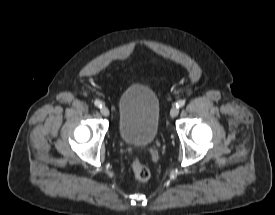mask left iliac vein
<instances>
[{
	"label": "left iliac vein",
	"instance_id": "4c4485c4",
	"mask_svg": "<svg viewBox=\"0 0 275 215\" xmlns=\"http://www.w3.org/2000/svg\"><path fill=\"white\" fill-rule=\"evenodd\" d=\"M178 113H179V108L176 107V106H174L170 110V117L174 118V117H176L178 115Z\"/></svg>",
	"mask_w": 275,
	"mask_h": 215
}]
</instances>
